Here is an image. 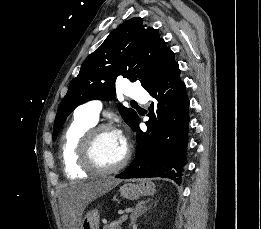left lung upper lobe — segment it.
Listing matches in <instances>:
<instances>
[{"label":"left lung upper lobe","mask_w":261,"mask_h":229,"mask_svg":"<svg viewBox=\"0 0 261 229\" xmlns=\"http://www.w3.org/2000/svg\"><path fill=\"white\" fill-rule=\"evenodd\" d=\"M177 62L154 28L134 17L112 31L102 45L83 62L80 72L69 85L59 105L53 127V140L67 116L80 104L92 99L114 100L118 76L144 88L154 83ZM124 121L132 128L138 115L131 108L118 104Z\"/></svg>","instance_id":"1"}]
</instances>
